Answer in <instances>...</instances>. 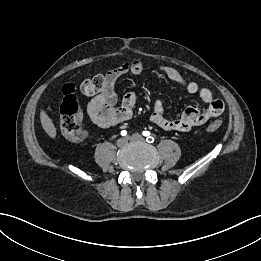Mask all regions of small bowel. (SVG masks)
Wrapping results in <instances>:
<instances>
[{"label": "small bowel", "mask_w": 261, "mask_h": 261, "mask_svg": "<svg viewBox=\"0 0 261 261\" xmlns=\"http://www.w3.org/2000/svg\"><path fill=\"white\" fill-rule=\"evenodd\" d=\"M158 70L168 79L182 86L189 94L198 95L207 104L203 110L196 106H189L180 118L169 119L165 116L163 101L156 99L150 120L159 128L169 132H188L218 117L224 111L223 101L214 98L210 89L200 87L195 81L185 78L171 66L160 65ZM142 71L143 64L140 61L126 62L104 75L105 83L99 92L89 93L82 90L86 95H93L86 108L87 115L93 124L100 128H110L129 119L136 104L137 95L134 91H129L118 103L114 86L123 74L130 72L139 75Z\"/></svg>", "instance_id": "1"}]
</instances>
